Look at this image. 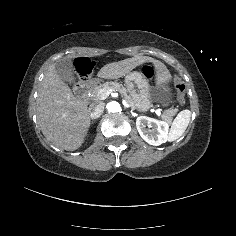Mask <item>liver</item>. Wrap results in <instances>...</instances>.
I'll return each instance as SVG.
<instances>
[{
  "instance_id": "obj_1",
  "label": "liver",
  "mask_w": 236,
  "mask_h": 236,
  "mask_svg": "<svg viewBox=\"0 0 236 236\" xmlns=\"http://www.w3.org/2000/svg\"><path fill=\"white\" fill-rule=\"evenodd\" d=\"M145 61H154L161 69L164 67L149 56H136L105 65L98 77L119 78ZM36 110L41 131L49 141L68 151L81 145L90 124L87 102L74 97L69 86L57 76L54 64L40 84Z\"/></svg>"
}]
</instances>
